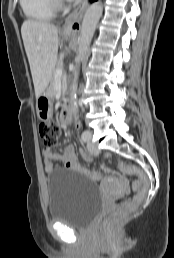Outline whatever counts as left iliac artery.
Listing matches in <instances>:
<instances>
[{"mask_svg": "<svg viewBox=\"0 0 174 258\" xmlns=\"http://www.w3.org/2000/svg\"><path fill=\"white\" fill-rule=\"evenodd\" d=\"M81 138L84 142H87L90 140V134L88 131H84L81 135Z\"/></svg>", "mask_w": 174, "mask_h": 258, "instance_id": "obj_1", "label": "left iliac artery"}]
</instances>
